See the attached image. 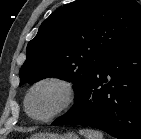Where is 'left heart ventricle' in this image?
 Here are the masks:
<instances>
[{
    "label": "left heart ventricle",
    "instance_id": "left-heart-ventricle-1",
    "mask_svg": "<svg viewBox=\"0 0 141 139\" xmlns=\"http://www.w3.org/2000/svg\"><path fill=\"white\" fill-rule=\"evenodd\" d=\"M64 92L56 84H43L36 88L29 100L30 112L36 117H46L63 102Z\"/></svg>",
    "mask_w": 141,
    "mask_h": 139
}]
</instances>
